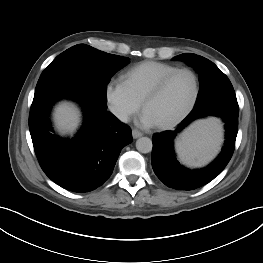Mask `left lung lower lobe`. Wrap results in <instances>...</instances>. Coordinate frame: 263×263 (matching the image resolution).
I'll return each mask as SVG.
<instances>
[{
    "label": "left lung lower lobe",
    "mask_w": 263,
    "mask_h": 263,
    "mask_svg": "<svg viewBox=\"0 0 263 263\" xmlns=\"http://www.w3.org/2000/svg\"><path fill=\"white\" fill-rule=\"evenodd\" d=\"M239 106L235 94L211 97L200 104L174 131L152 137V167L156 176L168 187L179 190L197 189L219 175L230 161L238 132ZM207 116H217L225 122V143L218 157L207 167L190 170L176 160L173 139L192 121Z\"/></svg>",
    "instance_id": "obj_1"
}]
</instances>
